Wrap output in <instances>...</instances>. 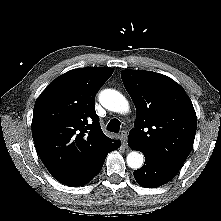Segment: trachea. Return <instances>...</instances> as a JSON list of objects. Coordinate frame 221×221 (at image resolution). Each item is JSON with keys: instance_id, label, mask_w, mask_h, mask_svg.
Listing matches in <instances>:
<instances>
[{"instance_id": "3493384b", "label": "trachea", "mask_w": 221, "mask_h": 221, "mask_svg": "<svg viewBox=\"0 0 221 221\" xmlns=\"http://www.w3.org/2000/svg\"><path fill=\"white\" fill-rule=\"evenodd\" d=\"M120 121L117 119H112L108 125H107V130L110 132L118 133L120 130Z\"/></svg>"}]
</instances>
